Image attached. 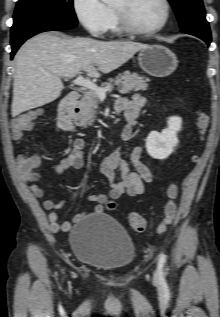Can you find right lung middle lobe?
Returning a JSON list of instances; mask_svg holds the SVG:
<instances>
[{
    "label": "right lung middle lobe",
    "instance_id": "dd1d6c3e",
    "mask_svg": "<svg viewBox=\"0 0 220 317\" xmlns=\"http://www.w3.org/2000/svg\"><path fill=\"white\" fill-rule=\"evenodd\" d=\"M11 32L39 20H62L77 24L73 0H19L14 12Z\"/></svg>",
    "mask_w": 220,
    "mask_h": 317
}]
</instances>
